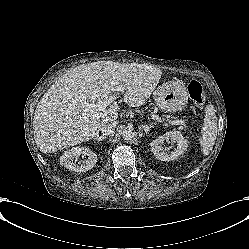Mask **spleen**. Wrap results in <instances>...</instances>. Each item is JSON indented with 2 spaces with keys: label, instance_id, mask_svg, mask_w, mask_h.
Masks as SVG:
<instances>
[{
  "label": "spleen",
  "instance_id": "1",
  "mask_svg": "<svg viewBox=\"0 0 249 249\" xmlns=\"http://www.w3.org/2000/svg\"><path fill=\"white\" fill-rule=\"evenodd\" d=\"M205 121L202 130V136L200 137V144L204 154H208L212 150V145L214 144L213 132L216 129V117L212 105H207L205 110Z\"/></svg>",
  "mask_w": 249,
  "mask_h": 249
}]
</instances>
